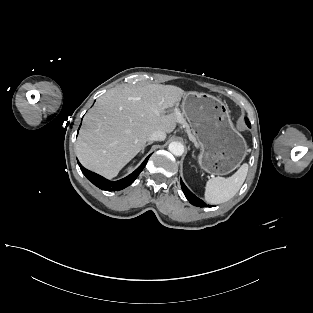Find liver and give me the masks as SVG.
<instances>
[{"instance_id":"liver-1","label":"liver","mask_w":313,"mask_h":313,"mask_svg":"<svg viewBox=\"0 0 313 313\" xmlns=\"http://www.w3.org/2000/svg\"><path fill=\"white\" fill-rule=\"evenodd\" d=\"M183 95L179 87L160 84L108 90L84 117L76 142L81 164L107 178L117 176L152 132L171 133L184 122L178 109Z\"/></svg>"}]
</instances>
